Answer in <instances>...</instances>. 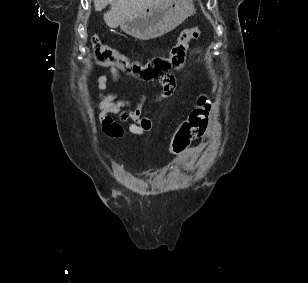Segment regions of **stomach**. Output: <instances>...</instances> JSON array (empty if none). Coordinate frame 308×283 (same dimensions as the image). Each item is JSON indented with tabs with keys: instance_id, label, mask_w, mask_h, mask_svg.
<instances>
[{
	"instance_id": "obj_1",
	"label": "stomach",
	"mask_w": 308,
	"mask_h": 283,
	"mask_svg": "<svg viewBox=\"0 0 308 283\" xmlns=\"http://www.w3.org/2000/svg\"><path fill=\"white\" fill-rule=\"evenodd\" d=\"M194 12L192 0H165L127 17L120 28L139 40L169 33Z\"/></svg>"
}]
</instances>
